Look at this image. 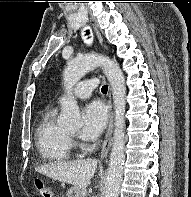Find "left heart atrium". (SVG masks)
Segmentation results:
<instances>
[{
    "instance_id": "1",
    "label": "left heart atrium",
    "mask_w": 191,
    "mask_h": 197,
    "mask_svg": "<svg viewBox=\"0 0 191 197\" xmlns=\"http://www.w3.org/2000/svg\"><path fill=\"white\" fill-rule=\"evenodd\" d=\"M107 117V109L103 103L93 101L86 105L82 114L81 136L87 140L97 138L106 126Z\"/></svg>"
}]
</instances>
